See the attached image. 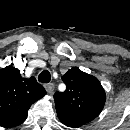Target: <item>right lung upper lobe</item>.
Instances as JSON below:
<instances>
[{"label": "right lung upper lobe", "instance_id": "1", "mask_svg": "<svg viewBox=\"0 0 130 130\" xmlns=\"http://www.w3.org/2000/svg\"><path fill=\"white\" fill-rule=\"evenodd\" d=\"M46 94L35 77H21L18 69H0V125L6 128L23 123L30 106Z\"/></svg>", "mask_w": 130, "mask_h": 130}]
</instances>
